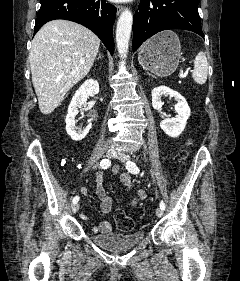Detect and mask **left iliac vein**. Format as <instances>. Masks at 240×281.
Segmentation results:
<instances>
[{"mask_svg": "<svg viewBox=\"0 0 240 281\" xmlns=\"http://www.w3.org/2000/svg\"><path fill=\"white\" fill-rule=\"evenodd\" d=\"M115 157L124 163H126L127 161H130V156L122 151L118 152L115 155ZM156 215H157V217L161 218L163 216V210L161 208L156 209Z\"/></svg>", "mask_w": 240, "mask_h": 281, "instance_id": "obj_1", "label": "left iliac vein"}]
</instances>
